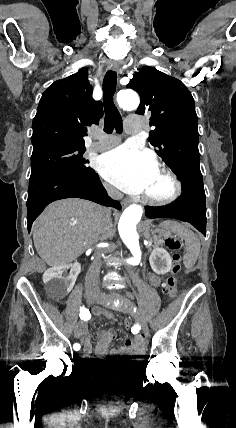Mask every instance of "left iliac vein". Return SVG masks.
<instances>
[{
	"instance_id": "1",
	"label": "left iliac vein",
	"mask_w": 236,
	"mask_h": 428,
	"mask_svg": "<svg viewBox=\"0 0 236 428\" xmlns=\"http://www.w3.org/2000/svg\"><path fill=\"white\" fill-rule=\"evenodd\" d=\"M97 299H101L102 301H114V300H118V301H124L125 304H131V309H134V311H137L136 308V303H134L131 299H126L124 296H118L117 294L113 295V294H108L106 295V292H99L98 296L96 297ZM116 298V299H115ZM133 302V303H132ZM135 315H138V312H135ZM136 323H139L142 326V333H147V324L144 323V320L142 317H137L136 318Z\"/></svg>"
}]
</instances>
